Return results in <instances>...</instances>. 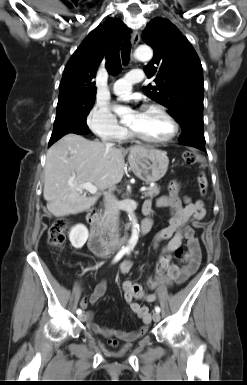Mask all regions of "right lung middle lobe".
Here are the masks:
<instances>
[{"label": "right lung middle lobe", "instance_id": "1", "mask_svg": "<svg viewBox=\"0 0 247 385\" xmlns=\"http://www.w3.org/2000/svg\"><path fill=\"white\" fill-rule=\"evenodd\" d=\"M95 96L59 95L53 132L70 127H88L86 118L94 105Z\"/></svg>", "mask_w": 247, "mask_h": 385}]
</instances>
